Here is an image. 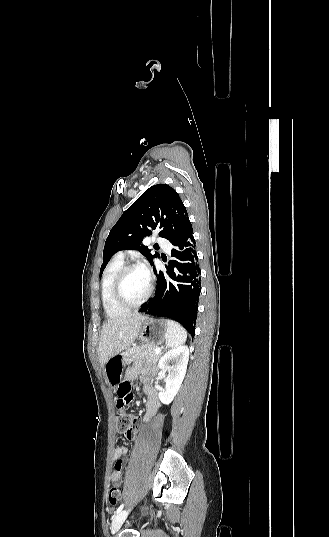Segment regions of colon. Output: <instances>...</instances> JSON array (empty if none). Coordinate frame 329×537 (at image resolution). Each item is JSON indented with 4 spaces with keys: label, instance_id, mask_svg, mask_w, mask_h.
Instances as JSON below:
<instances>
[{
    "label": "colon",
    "instance_id": "1",
    "mask_svg": "<svg viewBox=\"0 0 329 537\" xmlns=\"http://www.w3.org/2000/svg\"><path fill=\"white\" fill-rule=\"evenodd\" d=\"M134 424V417L126 412H120L116 419V431L118 433L128 432ZM121 499V492L118 488L112 487L108 494L111 505H117Z\"/></svg>",
    "mask_w": 329,
    "mask_h": 537
}]
</instances>
